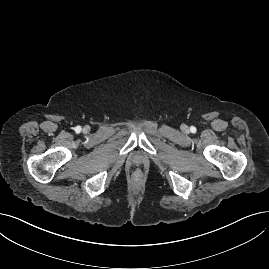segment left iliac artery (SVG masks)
Returning a JSON list of instances; mask_svg holds the SVG:
<instances>
[{
  "label": "left iliac artery",
  "instance_id": "obj_1",
  "mask_svg": "<svg viewBox=\"0 0 269 269\" xmlns=\"http://www.w3.org/2000/svg\"><path fill=\"white\" fill-rule=\"evenodd\" d=\"M190 130H191L192 133H195V132H196V128H195L194 126H192V127L190 128Z\"/></svg>",
  "mask_w": 269,
  "mask_h": 269
}]
</instances>
